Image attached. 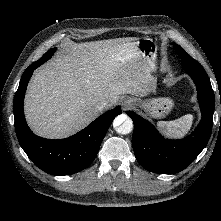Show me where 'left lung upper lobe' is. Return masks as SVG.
<instances>
[{"mask_svg": "<svg viewBox=\"0 0 221 221\" xmlns=\"http://www.w3.org/2000/svg\"><path fill=\"white\" fill-rule=\"evenodd\" d=\"M174 47L181 57L183 56V54H186V52L179 45L174 44Z\"/></svg>", "mask_w": 221, "mask_h": 221, "instance_id": "left-lung-upper-lobe-1", "label": "left lung upper lobe"}]
</instances>
